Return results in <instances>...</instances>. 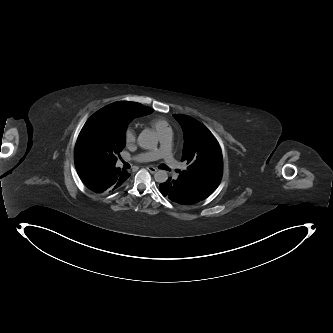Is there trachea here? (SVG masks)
Masks as SVG:
<instances>
[{
  "instance_id": "trachea-1",
  "label": "trachea",
  "mask_w": 333,
  "mask_h": 333,
  "mask_svg": "<svg viewBox=\"0 0 333 333\" xmlns=\"http://www.w3.org/2000/svg\"><path fill=\"white\" fill-rule=\"evenodd\" d=\"M163 169L169 170L168 166H166V165L163 166Z\"/></svg>"
}]
</instances>
